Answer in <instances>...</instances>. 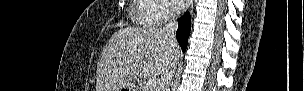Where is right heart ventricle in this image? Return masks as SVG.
<instances>
[{
  "mask_svg": "<svg viewBox=\"0 0 304 91\" xmlns=\"http://www.w3.org/2000/svg\"><path fill=\"white\" fill-rule=\"evenodd\" d=\"M134 3H135V7H134L133 11H134L135 15H137L140 19L145 18V20H146V16H147V13H148L150 7L144 1H141V0L134 1ZM141 22L144 24V21H141Z\"/></svg>",
  "mask_w": 304,
  "mask_h": 91,
  "instance_id": "e07e8e85",
  "label": "right heart ventricle"
}]
</instances>
